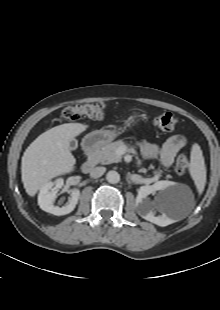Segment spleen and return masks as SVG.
Returning a JSON list of instances; mask_svg holds the SVG:
<instances>
[{
	"label": "spleen",
	"instance_id": "1",
	"mask_svg": "<svg viewBox=\"0 0 220 310\" xmlns=\"http://www.w3.org/2000/svg\"><path fill=\"white\" fill-rule=\"evenodd\" d=\"M190 175L194 180V183L201 193L204 190L206 183V167L202 151L198 144H194L191 150V163H190Z\"/></svg>",
	"mask_w": 220,
	"mask_h": 310
}]
</instances>
